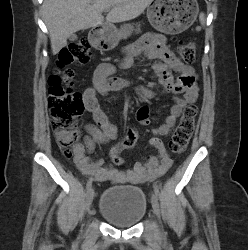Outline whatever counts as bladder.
I'll return each instance as SVG.
<instances>
[{
	"instance_id": "obj_1",
	"label": "bladder",
	"mask_w": 248,
	"mask_h": 250,
	"mask_svg": "<svg viewBox=\"0 0 248 250\" xmlns=\"http://www.w3.org/2000/svg\"><path fill=\"white\" fill-rule=\"evenodd\" d=\"M98 212L113 225L132 227L146 215V195L134 186L109 188L100 197Z\"/></svg>"
}]
</instances>
